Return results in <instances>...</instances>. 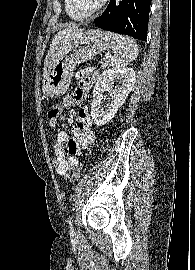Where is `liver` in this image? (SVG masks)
<instances>
[{
	"mask_svg": "<svg viewBox=\"0 0 195 270\" xmlns=\"http://www.w3.org/2000/svg\"><path fill=\"white\" fill-rule=\"evenodd\" d=\"M81 30V29H80ZM79 31L77 26H69L67 28H64L63 30L59 31L53 38L52 43L50 44V48L48 50V54L45 57V66L47 63L55 57L56 50L58 48V44L60 40L65 36V35H70L72 33H75Z\"/></svg>",
	"mask_w": 195,
	"mask_h": 270,
	"instance_id": "6515ba94",
	"label": "liver"
}]
</instances>
